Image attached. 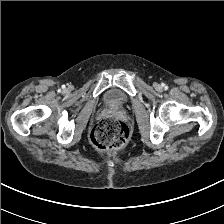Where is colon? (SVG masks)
Masks as SVG:
<instances>
[{"label": "colon", "instance_id": "colon-1", "mask_svg": "<svg viewBox=\"0 0 224 224\" xmlns=\"http://www.w3.org/2000/svg\"><path fill=\"white\" fill-rule=\"evenodd\" d=\"M129 128L116 117L101 119L90 134L91 144L100 153L123 147L129 139Z\"/></svg>", "mask_w": 224, "mask_h": 224}]
</instances>
